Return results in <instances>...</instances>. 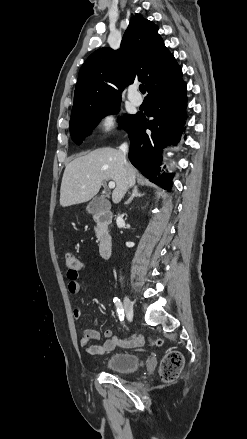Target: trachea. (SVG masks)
Instances as JSON below:
<instances>
[{
  "label": "trachea",
  "mask_w": 247,
  "mask_h": 439,
  "mask_svg": "<svg viewBox=\"0 0 247 439\" xmlns=\"http://www.w3.org/2000/svg\"><path fill=\"white\" fill-rule=\"evenodd\" d=\"M139 90L141 91V93L145 94V92H146V87H145V85H140V86H139Z\"/></svg>",
  "instance_id": "3493384b"
}]
</instances>
